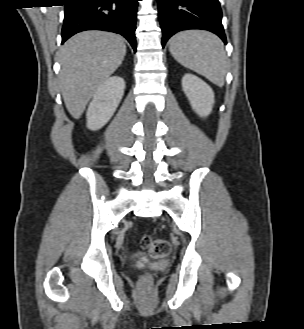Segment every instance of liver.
Returning a JSON list of instances; mask_svg holds the SVG:
<instances>
[{
	"label": "liver",
	"mask_w": 304,
	"mask_h": 329,
	"mask_svg": "<svg viewBox=\"0 0 304 329\" xmlns=\"http://www.w3.org/2000/svg\"><path fill=\"white\" fill-rule=\"evenodd\" d=\"M125 55L124 39L104 31L78 33L63 45L60 88L73 118H80L97 88L116 71Z\"/></svg>",
	"instance_id": "liver-1"
}]
</instances>
